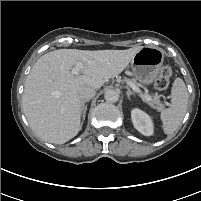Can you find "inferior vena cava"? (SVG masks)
Wrapping results in <instances>:
<instances>
[{"label": "inferior vena cava", "mask_w": 201, "mask_h": 201, "mask_svg": "<svg viewBox=\"0 0 201 201\" xmlns=\"http://www.w3.org/2000/svg\"><path fill=\"white\" fill-rule=\"evenodd\" d=\"M79 96L84 100L93 98L96 94V90L89 86H82L78 90Z\"/></svg>", "instance_id": "inferior-vena-cava-1"}]
</instances>
